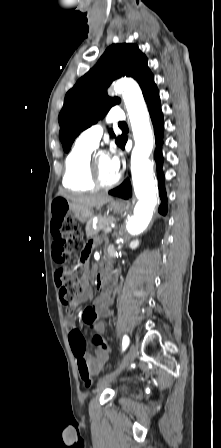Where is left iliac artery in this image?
Instances as JSON below:
<instances>
[{
    "mask_svg": "<svg viewBox=\"0 0 221 448\" xmlns=\"http://www.w3.org/2000/svg\"><path fill=\"white\" fill-rule=\"evenodd\" d=\"M129 342H130L129 337L127 335H124L123 339H122L123 350H125L127 348V346L129 345Z\"/></svg>",
    "mask_w": 221,
    "mask_h": 448,
    "instance_id": "left-iliac-artery-1",
    "label": "left iliac artery"
}]
</instances>
